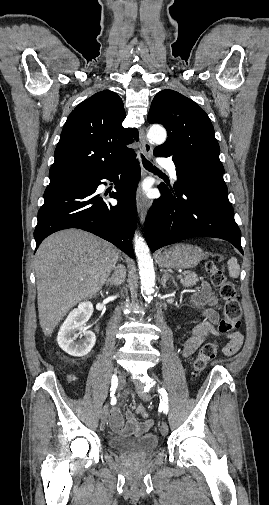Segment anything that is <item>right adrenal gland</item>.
I'll use <instances>...</instances> for the list:
<instances>
[{
    "mask_svg": "<svg viewBox=\"0 0 269 505\" xmlns=\"http://www.w3.org/2000/svg\"><path fill=\"white\" fill-rule=\"evenodd\" d=\"M125 275V268L120 265L114 274H112V276L106 280V284L118 287L124 282Z\"/></svg>",
    "mask_w": 269,
    "mask_h": 505,
    "instance_id": "obj_1",
    "label": "right adrenal gland"
}]
</instances>
